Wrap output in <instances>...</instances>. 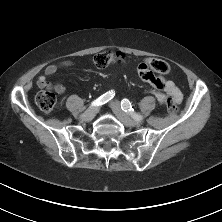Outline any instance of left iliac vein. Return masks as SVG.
I'll list each match as a JSON object with an SVG mask.
<instances>
[{
	"instance_id": "4c4485c4",
	"label": "left iliac vein",
	"mask_w": 222,
	"mask_h": 222,
	"mask_svg": "<svg viewBox=\"0 0 222 222\" xmlns=\"http://www.w3.org/2000/svg\"><path fill=\"white\" fill-rule=\"evenodd\" d=\"M110 107L112 108L113 112L117 116V118L126 126L128 127H136L140 125V121L133 120L130 118L120 107L119 102L114 101L110 103Z\"/></svg>"
}]
</instances>
